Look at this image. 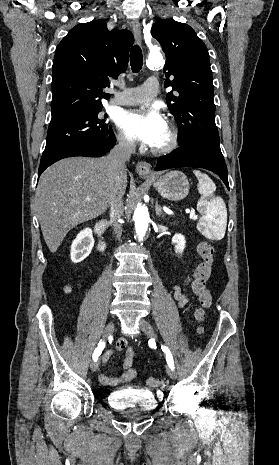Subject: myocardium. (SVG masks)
<instances>
[{
    "label": "myocardium",
    "instance_id": "f54148a6",
    "mask_svg": "<svg viewBox=\"0 0 279 465\" xmlns=\"http://www.w3.org/2000/svg\"><path fill=\"white\" fill-rule=\"evenodd\" d=\"M169 128L170 138L166 145L162 147H151V152L156 155H163L172 152L175 150L179 144V130L173 122H167L166 124Z\"/></svg>",
    "mask_w": 279,
    "mask_h": 465
}]
</instances>
